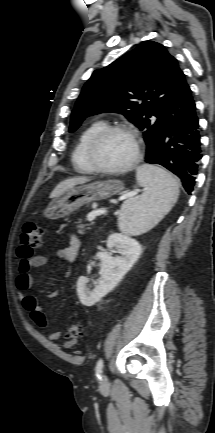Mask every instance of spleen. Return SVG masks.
<instances>
[{"instance_id":"obj_1","label":"spleen","mask_w":215,"mask_h":433,"mask_svg":"<svg viewBox=\"0 0 215 433\" xmlns=\"http://www.w3.org/2000/svg\"><path fill=\"white\" fill-rule=\"evenodd\" d=\"M136 179L145 192L127 199L121 207L118 227L130 235L147 232L172 209L179 196V186L173 176L154 165L137 168Z\"/></svg>"}]
</instances>
